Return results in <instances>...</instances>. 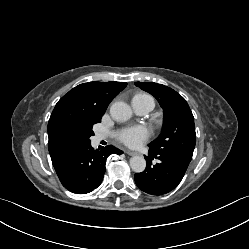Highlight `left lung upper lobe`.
<instances>
[{"label": "left lung upper lobe", "instance_id": "obj_1", "mask_svg": "<svg viewBox=\"0 0 249 249\" xmlns=\"http://www.w3.org/2000/svg\"><path fill=\"white\" fill-rule=\"evenodd\" d=\"M135 85L152 94L164 112L162 132L148 145L150 150L192 159L196 133L194 117L186 100L162 84L136 82Z\"/></svg>", "mask_w": 249, "mask_h": 249}]
</instances>
